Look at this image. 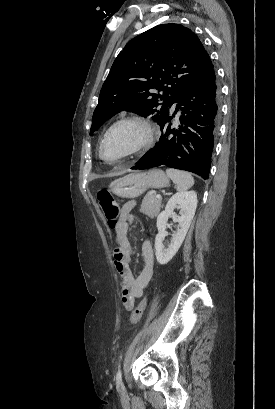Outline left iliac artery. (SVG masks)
I'll use <instances>...</instances> for the list:
<instances>
[{"label":"left iliac artery","mask_w":275,"mask_h":409,"mask_svg":"<svg viewBox=\"0 0 275 409\" xmlns=\"http://www.w3.org/2000/svg\"><path fill=\"white\" fill-rule=\"evenodd\" d=\"M116 385L117 387L122 385V373H121V368L118 369L117 374H116Z\"/></svg>","instance_id":"left-iliac-artery-1"}]
</instances>
